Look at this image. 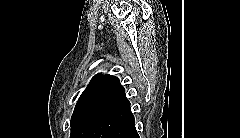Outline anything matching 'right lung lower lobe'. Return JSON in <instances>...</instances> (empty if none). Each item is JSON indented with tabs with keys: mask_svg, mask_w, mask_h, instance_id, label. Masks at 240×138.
<instances>
[{
	"mask_svg": "<svg viewBox=\"0 0 240 138\" xmlns=\"http://www.w3.org/2000/svg\"><path fill=\"white\" fill-rule=\"evenodd\" d=\"M86 138H139L130 104L109 115Z\"/></svg>",
	"mask_w": 240,
	"mask_h": 138,
	"instance_id": "right-lung-lower-lobe-1",
	"label": "right lung lower lobe"
}]
</instances>
